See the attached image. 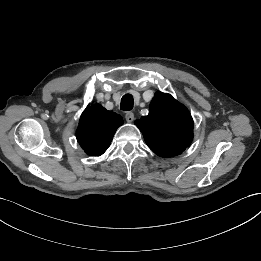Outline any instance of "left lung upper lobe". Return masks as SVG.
<instances>
[{
	"label": "left lung upper lobe",
	"instance_id": "1",
	"mask_svg": "<svg viewBox=\"0 0 261 261\" xmlns=\"http://www.w3.org/2000/svg\"><path fill=\"white\" fill-rule=\"evenodd\" d=\"M147 146L161 157L181 154L192 142L193 119L171 95L157 92L148 116L136 120Z\"/></svg>",
	"mask_w": 261,
	"mask_h": 261
}]
</instances>
